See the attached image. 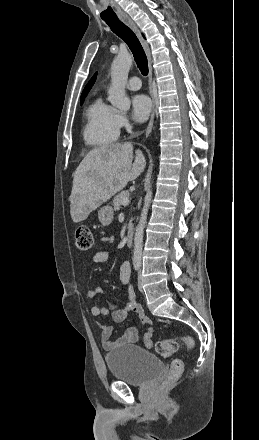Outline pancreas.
Masks as SVG:
<instances>
[{
	"instance_id": "obj_1",
	"label": "pancreas",
	"mask_w": 259,
	"mask_h": 440,
	"mask_svg": "<svg viewBox=\"0 0 259 440\" xmlns=\"http://www.w3.org/2000/svg\"><path fill=\"white\" fill-rule=\"evenodd\" d=\"M124 198H129V192L128 191H123L121 193H119L118 195H116L113 199V206L115 211H118L122 205V200Z\"/></svg>"
}]
</instances>
